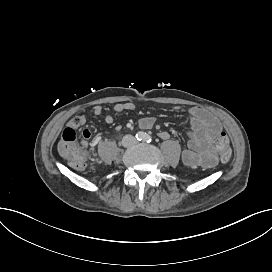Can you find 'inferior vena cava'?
<instances>
[{
	"instance_id": "obj_1",
	"label": "inferior vena cava",
	"mask_w": 272,
	"mask_h": 272,
	"mask_svg": "<svg viewBox=\"0 0 272 272\" xmlns=\"http://www.w3.org/2000/svg\"><path fill=\"white\" fill-rule=\"evenodd\" d=\"M136 143V139L134 136L127 134L122 139V144L125 147L133 146Z\"/></svg>"
}]
</instances>
